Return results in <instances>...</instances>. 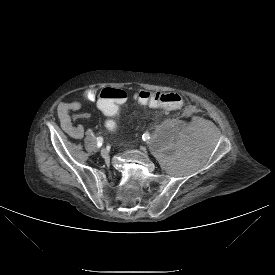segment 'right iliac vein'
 I'll return each instance as SVG.
<instances>
[{"instance_id":"1","label":"right iliac vein","mask_w":275,"mask_h":275,"mask_svg":"<svg viewBox=\"0 0 275 275\" xmlns=\"http://www.w3.org/2000/svg\"><path fill=\"white\" fill-rule=\"evenodd\" d=\"M100 154H101L102 157L105 158V157L108 156V151L106 149H101Z\"/></svg>"}]
</instances>
